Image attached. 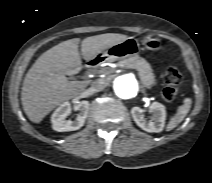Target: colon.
Wrapping results in <instances>:
<instances>
[{
  "label": "colon",
  "instance_id": "colon-1",
  "mask_svg": "<svg viewBox=\"0 0 212 183\" xmlns=\"http://www.w3.org/2000/svg\"><path fill=\"white\" fill-rule=\"evenodd\" d=\"M182 81V75L176 68H169L164 74L165 88L162 96L167 101H172L177 95V86Z\"/></svg>",
  "mask_w": 212,
  "mask_h": 183
}]
</instances>
